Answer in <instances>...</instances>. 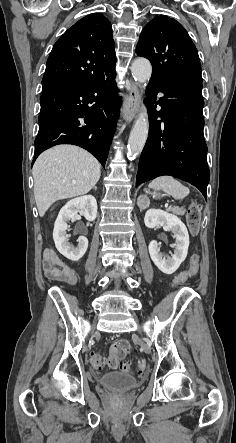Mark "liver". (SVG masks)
Instances as JSON below:
<instances>
[{
  "label": "liver",
  "mask_w": 236,
  "mask_h": 443,
  "mask_svg": "<svg viewBox=\"0 0 236 443\" xmlns=\"http://www.w3.org/2000/svg\"><path fill=\"white\" fill-rule=\"evenodd\" d=\"M32 174L37 209L43 217L57 200L87 194L98 182L101 169L86 150L58 145L37 158Z\"/></svg>",
  "instance_id": "6515ba94"
}]
</instances>
